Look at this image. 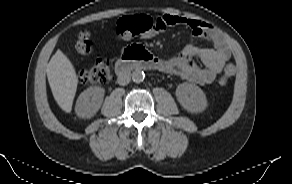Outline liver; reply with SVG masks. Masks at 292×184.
<instances>
[{
    "label": "liver",
    "instance_id": "liver-1",
    "mask_svg": "<svg viewBox=\"0 0 292 184\" xmlns=\"http://www.w3.org/2000/svg\"><path fill=\"white\" fill-rule=\"evenodd\" d=\"M46 72L54 99L63 111L70 113L78 85L74 66L61 50H57Z\"/></svg>",
    "mask_w": 292,
    "mask_h": 184
}]
</instances>
